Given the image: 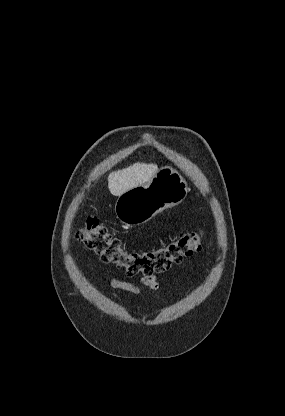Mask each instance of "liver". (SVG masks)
Segmentation results:
<instances>
[{"mask_svg": "<svg viewBox=\"0 0 285 416\" xmlns=\"http://www.w3.org/2000/svg\"><path fill=\"white\" fill-rule=\"evenodd\" d=\"M158 172L156 164H132L129 168L111 172L108 176V188L112 196H122L128 190L144 186Z\"/></svg>", "mask_w": 285, "mask_h": 416, "instance_id": "6515ba94", "label": "liver"}]
</instances>
